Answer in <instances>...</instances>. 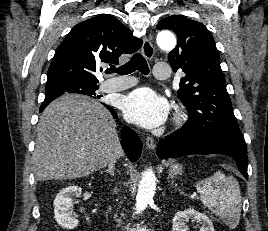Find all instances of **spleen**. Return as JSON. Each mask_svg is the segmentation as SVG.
<instances>
[{"mask_svg":"<svg viewBox=\"0 0 268 231\" xmlns=\"http://www.w3.org/2000/svg\"><path fill=\"white\" fill-rule=\"evenodd\" d=\"M202 203L227 226L235 228L241 216V192L233 176L226 177L221 171L215 172L196 184Z\"/></svg>","mask_w":268,"mask_h":231,"instance_id":"spleen-1","label":"spleen"}]
</instances>
